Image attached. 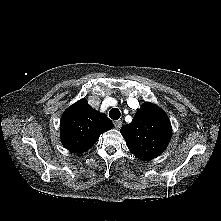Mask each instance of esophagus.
<instances>
[{
	"label": "esophagus",
	"mask_w": 221,
	"mask_h": 221,
	"mask_svg": "<svg viewBox=\"0 0 221 221\" xmlns=\"http://www.w3.org/2000/svg\"><path fill=\"white\" fill-rule=\"evenodd\" d=\"M114 126H115V128H117V129L121 128V126H122V121H121V120L115 121V122H114Z\"/></svg>",
	"instance_id": "obj_1"
}]
</instances>
